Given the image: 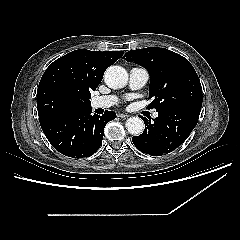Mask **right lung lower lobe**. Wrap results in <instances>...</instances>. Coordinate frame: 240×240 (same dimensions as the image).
Masks as SVG:
<instances>
[{
	"instance_id": "1",
	"label": "right lung lower lobe",
	"mask_w": 240,
	"mask_h": 240,
	"mask_svg": "<svg viewBox=\"0 0 240 240\" xmlns=\"http://www.w3.org/2000/svg\"><path fill=\"white\" fill-rule=\"evenodd\" d=\"M116 118L112 111L91 115V108L73 111L42 127L51 145L63 155L83 158L100 147L107 122Z\"/></svg>"
}]
</instances>
